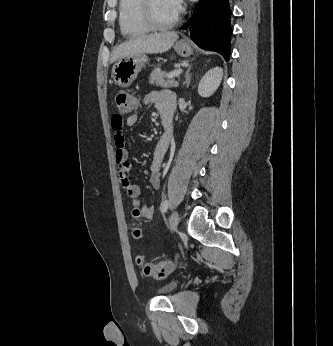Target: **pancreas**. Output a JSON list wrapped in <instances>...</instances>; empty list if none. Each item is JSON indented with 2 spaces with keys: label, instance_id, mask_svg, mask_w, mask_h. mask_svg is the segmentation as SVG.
Listing matches in <instances>:
<instances>
[{
  "label": "pancreas",
  "instance_id": "cf45deb5",
  "mask_svg": "<svg viewBox=\"0 0 333 346\" xmlns=\"http://www.w3.org/2000/svg\"><path fill=\"white\" fill-rule=\"evenodd\" d=\"M168 75L167 72L161 71V69L157 67L150 74L149 83L163 88L177 87L178 82L174 79H168Z\"/></svg>",
  "mask_w": 333,
  "mask_h": 346
}]
</instances>
